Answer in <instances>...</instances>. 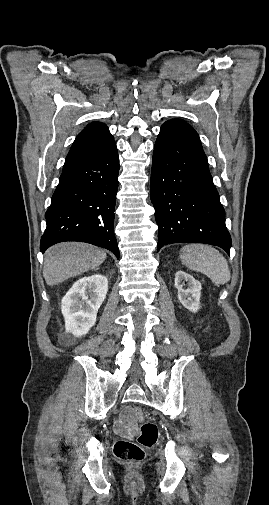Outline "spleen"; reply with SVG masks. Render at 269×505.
Here are the masks:
<instances>
[{"label": "spleen", "mask_w": 269, "mask_h": 505, "mask_svg": "<svg viewBox=\"0 0 269 505\" xmlns=\"http://www.w3.org/2000/svg\"><path fill=\"white\" fill-rule=\"evenodd\" d=\"M181 262L191 270L208 276L216 285L230 281L231 273L225 257L205 244H188L180 250Z\"/></svg>", "instance_id": "spleen-1"}]
</instances>
